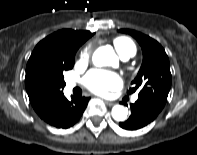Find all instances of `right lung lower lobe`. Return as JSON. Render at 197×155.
I'll use <instances>...</instances> for the list:
<instances>
[{
    "mask_svg": "<svg viewBox=\"0 0 197 155\" xmlns=\"http://www.w3.org/2000/svg\"><path fill=\"white\" fill-rule=\"evenodd\" d=\"M88 101L89 98L74 96H72V100L69 101L63 95L41 118L53 127L69 128L79 120Z\"/></svg>",
    "mask_w": 197,
    "mask_h": 155,
    "instance_id": "right-lung-lower-lobe-1",
    "label": "right lung lower lobe"
}]
</instances>
